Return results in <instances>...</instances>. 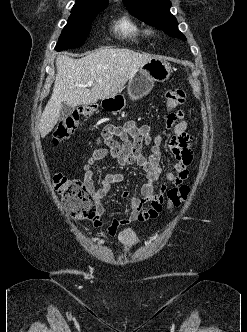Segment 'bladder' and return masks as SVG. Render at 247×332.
<instances>
[{"label": "bladder", "instance_id": "1", "mask_svg": "<svg viewBox=\"0 0 247 332\" xmlns=\"http://www.w3.org/2000/svg\"><path fill=\"white\" fill-rule=\"evenodd\" d=\"M135 237L134 236H128L127 238H125V241L127 242V243H134L135 242Z\"/></svg>", "mask_w": 247, "mask_h": 332}]
</instances>
